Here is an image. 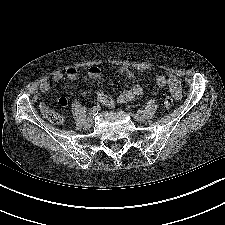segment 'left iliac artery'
Returning <instances> with one entry per match:
<instances>
[{
  "label": "left iliac artery",
  "instance_id": "obj_1",
  "mask_svg": "<svg viewBox=\"0 0 225 225\" xmlns=\"http://www.w3.org/2000/svg\"><path fill=\"white\" fill-rule=\"evenodd\" d=\"M147 112H148V111H147V109H145V108L142 109V110H139V113H142V114H144V115L147 114Z\"/></svg>",
  "mask_w": 225,
  "mask_h": 225
}]
</instances>
